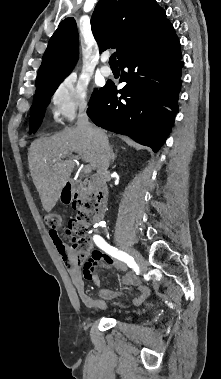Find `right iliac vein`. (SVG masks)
Wrapping results in <instances>:
<instances>
[{"label": "right iliac vein", "mask_w": 221, "mask_h": 379, "mask_svg": "<svg viewBox=\"0 0 221 379\" xmlns=\"http://www.w3.org/2000/svg\"><path fill=\"white\" fill-rule=\"evenodd\" d=\"M126 251H128V253H130L135 258L137 264L140 267L141 272H145L146 264L143 256L138 251L131 248H126Z\"/></svg>", "instance_id": "obj_1"}]
</instances>
